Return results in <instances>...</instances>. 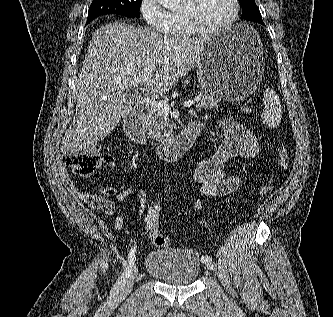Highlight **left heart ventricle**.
<instances>
[{
  "mask_svg": "<svg viewBox=\"0 0 333 317\" xmlns=\"http://www.w3.org/2000/svg\"><path fill=\"white\" fill-rule=\"evenodd\" d=\"M189 7L188 0H184L180 10ZM197 20L205 26H214L224 22L233 11L231 0H198L195 4Z\"/></svg>",
  "mask_w": 333,
  "mask_h": 317,
  "instance_id": "obj_1",
  "label": "left heart ventricle"
}]
</instances>
